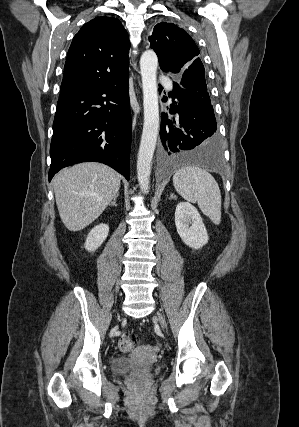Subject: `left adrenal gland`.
Listing matches in <instances>:
<instances>
[{
    "instance_id": "1",
    "label": "left adrenal gland",
    "mask_w": 299,
    "mask_h": 427,
    "mask_svg": "<svg viewBox=\"0 0 299 427\" xmlns=\"http://www.w3.org/2000/svg\"><path fill=\"white\" fill-rule=\"evenodd\" d=\"M175 197L176 196L173 193L170 194V199H174Z\"/></svg>"
}]
</instances>
